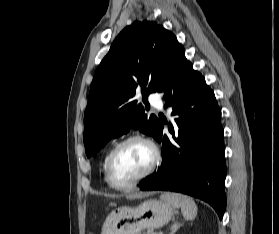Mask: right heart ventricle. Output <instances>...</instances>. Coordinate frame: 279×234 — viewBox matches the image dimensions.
<instances>
[{
	"mask_svg": "<svg viewBox=\"0 0 279 234\" xmlns=\"http://www.w3.org/2000/svg\"><path fill=\"white\" fill-rule=\"evenodd\" d=\"M108 155H109V153L104 157L103 162H102V170H103V173H104V179H105L107 184H108V182H107L106 177H105V165H106Z\"/></svg>",
	"mask_w": 279,
	"mask_h": 234,
	"instance_id": "e07e8e85",
	"label": "right heart ventricle"
}]
</instances>
